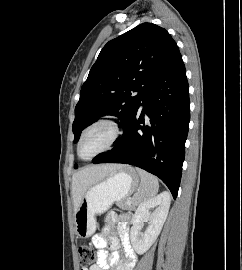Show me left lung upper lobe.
Instances as JSON below:
<instances>
[{
    "label": "left lung upper lobe",
    "instance_id": "5c2ea615",
    "mask_svg": "<svg viewBox=\"0 0 242 270\" xmlns=\"http://www.w3.org/2000/svg\"><path fill=\"white\" fill-rule=\"evenodd\" d=\"M180 55L167 30L153 23L140 24L109 41L81 88L72 127L74 143L86 126L103 115L119 117V127L124 129L148 87Z\"/></svg>",
    "mask_w": 242,
    "mask_h": 270
}]
</instances>
